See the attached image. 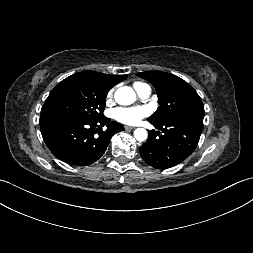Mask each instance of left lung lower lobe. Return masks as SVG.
Segmentation results:
<instances>
[{"instance_id":"obj_1","label":"left lung lower lobe","mask_w":253,"mask_h":253,"mask_svg":"<svg viewBox=\"0 0 253 253\" xmlns=\"http://www.w3.org/2000/svg\"><path fill=\"white\" fill-rule=\"evenodd\" d=\"M202 113L158 124L149 121L162 131H149V138L140 147V155L144 161L158 169L173 167L185 160L197 147L203 130Z\"/></svg>"}]
</instances>
